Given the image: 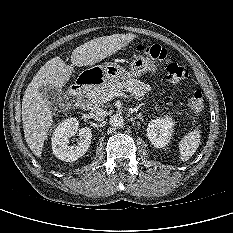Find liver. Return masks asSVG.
<instances>
[{
	"mask_svg": "<svg viewBox=\"0 0 233 233\" xmlns=\"http://www.w3.org/2000/svg\"><path fill=\"white\" fill-rule=\"evenodd\" d=\"M134 34H113L94 38L74 49L71 63L74 66H92L111 56L131 43ZM72 65H66L60 57H54L46 62L33 77L25 90L22 100V124L26 143L37 157L42 154V148L52 126V107L40 92L43 85L62 88L74 72Z\"/></svg>",
	"mask_w": 233,
	"mask_h": 233,
	"instance_id": "6515ba94",
	"label": "liver"
}]
</instances>
